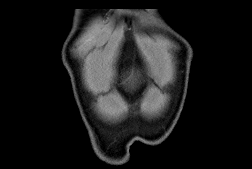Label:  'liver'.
<instances>
[{
  "mask_svg": "<svg viewBox=\"0 0 252 169\" xmlns=\"http://www.w3.org/2000/svg\"><path fill=\"white\" fill-rule=\"evenodd\" d=\"M104 80V71L98 66L94 67L88 78L89 86L93 89H100Z\"/></svg>",
  "mask_w": 252,
  "mask_h": 169,
  "instance_id": "liver-1",
  "label": "liver"
}]
</instances>
